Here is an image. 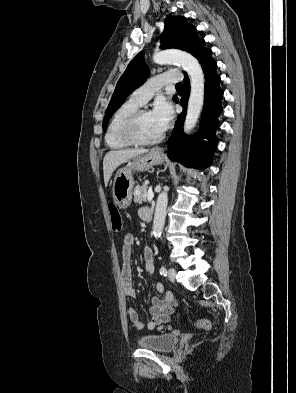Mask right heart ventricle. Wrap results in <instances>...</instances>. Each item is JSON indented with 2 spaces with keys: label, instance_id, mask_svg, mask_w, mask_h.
I'll return each instance as SVG.
<instances>
[{
  "label": "right heart ventricle",
  "instance_id": "e07e8e85",
  "mask_svg": "<svg viewBox=\"0 0 296 393\" xmlns=\"http://www.w3.org/2000/svg\"><path fill=\"white\" fill-rule=\"evenodd\" d=\"M139 108L140 105L128 100L115 110L105 134V142L109 148L119 150L130 146L123 139L121 130L126 119Z\"/></svg>",
  "mask_w": 296,
  "mask_h": 393
}]
</instances>
